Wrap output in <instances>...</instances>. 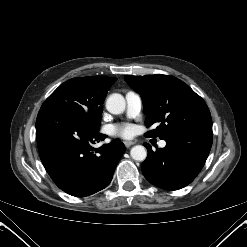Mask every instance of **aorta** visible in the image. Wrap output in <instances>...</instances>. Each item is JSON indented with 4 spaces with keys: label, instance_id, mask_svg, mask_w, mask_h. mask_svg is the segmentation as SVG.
<instances>
[{
    "label": "aorta",
    "instance_id": "obj_1",
    "mask_svg": "<svg viewBox=\"0 0 247 247\" xmlns=\"http://www.w3.org/2000/svg\"><path fill=\"white\" fill-rule=\"evenodd\" d=\"M125 107L126 101L124 97L118 93L111 94L106 101V109L111 114H121L124 112ZM130 155L132 159L136 161H144L147 157V151L144 146L136 145L131 149Z\"/></svg>",
    "mask_w": 247,
    "mask_h": 247
}]
</instances>
